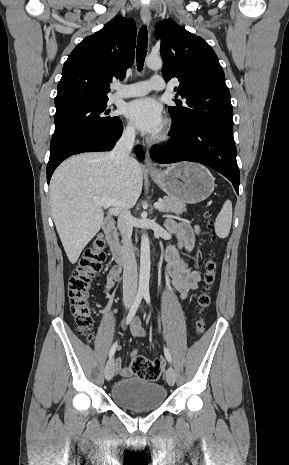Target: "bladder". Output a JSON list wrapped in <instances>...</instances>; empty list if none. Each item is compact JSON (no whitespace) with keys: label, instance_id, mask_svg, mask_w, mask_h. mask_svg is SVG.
I'll list each match as a JSON object with an SVG mask.
<instances>
[{"label":"bladder","instance_id":"1","mask_svg":"<svg viewBox=\"0 0 289 465\" xmlns=\"http://www.w3.org/2000/svg\"><path fill=\"white\" fill-rule=\"evenodd\" d=\"M110 394L117 405L131 410L157 409L167 397L163 385L135 377L116 381Z\"/></svg>","mask_w":289,"mask_h":465}]
</instances>
